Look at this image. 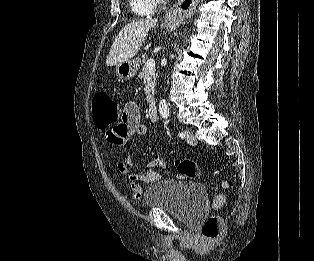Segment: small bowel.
<instances>
[{
	"label": "small bowel",
	"mask_w": 314,
	"mask_h": 261,
	"mask_svg": "<svg viewBox=\"0 0 314 261\" xmlns=\"http://www.w3.org/2000/svg\"><path fill=\"white\" fill-rule=\"evenodd\" d=\"M146 133L147 127L140 123V112L137 104L128 102L124 107L119 124L104 133V140H109L111 148H122L130 137L145 135ZM132 167L133 160L129 155L116 165L117 172L127 180L132 196L135 199H140L143 196V190L139 183L151 184L159 181L160 174L155 168L159 167L166 170L167 164L162 158H155L143 164L139 172L132 173Z\"/></svg>",
	"instance_id": "small-bowel-1"
}]
</instances>
